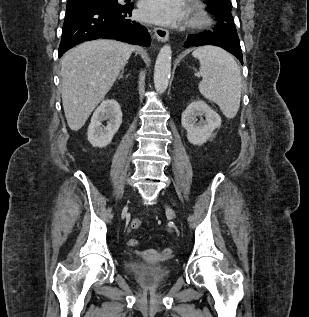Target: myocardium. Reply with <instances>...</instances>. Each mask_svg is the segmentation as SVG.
I'll return each mask as SVG.
<instances>
[{
    "instance_id": "obj_1",
    "label": "myocardium",
    "mask_w": 309,
    "mask_h": 317,
    "mask_svg": "<svg viewBox=\"0 0 309 317\" xmlns=\"http://www.w3.org/2000/svg\"><path fill=\"white\" fill-rule=\"evenodd\" d=\"M212 22V16L202 4L195 3L194 5H192L186 23L190 29H205L209 27Z\"/></svg>"
}]
</instances>
